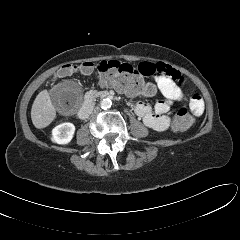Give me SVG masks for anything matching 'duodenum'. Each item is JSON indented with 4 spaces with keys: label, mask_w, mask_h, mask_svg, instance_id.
Returning <instances> with one entry per match:
<instances>
[{
    "label": "duodenum",
    "mask_w": 240,
    "mask_h": 240,
    "mask_svg": "<svg viewBox=\"0 0 240 240\" xmlns=\"http://www.w3.org/2000/svg\"><path fill=\"white\" fill-rule=\"evenodd\" d=\"M96 98H100V99L112 98V94L109 93V92H107V91H101V92H97V93H92V94H90V95L86 98L83 106H82V107L80 108V110L78 111V117H79L80 119H85V118L89 115L90 110H91V108H92V105H93V103H94V100H95Z\"/></svg>",
    "instance_id": "410a0bca"
}]
</instances>
